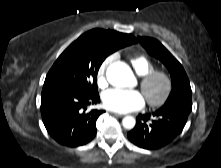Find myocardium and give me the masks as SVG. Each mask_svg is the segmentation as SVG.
I'll use <instances>...</instances> for the list:
<instances>
[{"label": "myocardium", "instance_id": "obj_1", "mask_svg": "<svg viewBox=\"0 0 221 168\" xmlns=\"http://www.w3.org/2000/svg\"><path fill=\"white\" fill-rule=\"evenodd\" d=\"M160 79L164 84V89L160 97L157 99L146 98L147 103L152 108L163 106L171 96L173 90V81L171 75L161 69H155L141 76L140 87L144 92L155 80Z\"/></svg>", "mask_w": 221, "mask_h": 168}]
</instances>
